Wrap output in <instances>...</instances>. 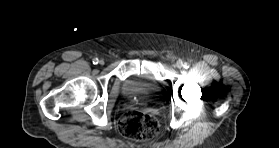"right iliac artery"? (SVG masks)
Instances as JSON below:
<instances>
[{"label": "right iliac artery", "instance_id": "obj_1", "mask_svg": "<svg viewBox=\"0 0 279 148\" xmlns=\"http://www.w3.org/2000/svg\"><path fill=\"white\" fill-rule=\"evenodd\" d=\"M98 62H99L98 58L93 59V64H98Z\"/></svg>", "mask_w": 279, "mask_h": 148}]
</instances>
